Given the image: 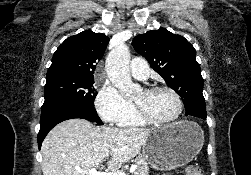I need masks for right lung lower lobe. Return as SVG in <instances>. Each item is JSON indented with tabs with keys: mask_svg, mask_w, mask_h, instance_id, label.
I'll return each mask as SVG.
<instances>
[{
	"mask_svg": "<svg viewBox=\"0 0 251 175\" xmlns=\"http://www.w3.org/2000/svg\"><path fill=\"white\" fill-rule=\"evenodd\" d=\"M73 118H82L91 122L103 124L97 116L94 105H84L65 99H46L41 110L40 131L38 133L39 149L47 133L55 125Z\"/></svg>",
	"mask_w": 251,
	"mask_h": 175,
	"instance_id": "right-lung-lower-lobe-1",
	"label": "right lung lower lobe"
}]
</instances>
